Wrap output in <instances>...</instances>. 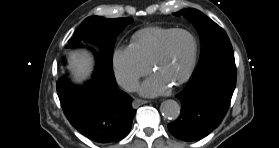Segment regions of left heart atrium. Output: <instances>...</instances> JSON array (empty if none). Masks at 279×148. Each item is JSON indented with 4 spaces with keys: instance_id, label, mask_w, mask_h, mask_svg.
I'll return each instance as SVG.
<instances>
[{
    "instance_id": "1",
    "label": "left heart atrium",
    "mask_w": 279,
    "mask_h": 148,
    "mask_svg": "<svg viewBox=\"0 0 279 148\" xmlns=\"http://www.w3.org/2000/svg\"><path fill=\"white\" fill-rule=\"evenodd\" d=\"M170 89V83L156 74L150 76L140 86V92L146 96H159L167 93Z\"/></svg>"
}]
</instances>
